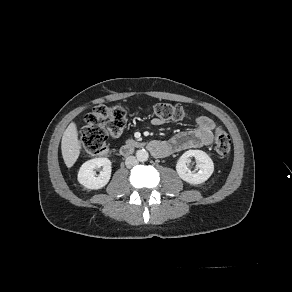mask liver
Returning a JSON list of instances; mask_svg holds the SVG:
<instances>
[{
	"instance_id": "6515ba94",
	"label": "liver",
	"mask_w": 292,
	"mask_h": 292,
	"mask_svg": "<svg viewBox=\"0 0 292 292\" xmlns=\"http://www.w3.org/2000/svg\"><path fill=\"white\" fill-rule=\"evenodd\" d=\"M61 151L66 166L68 168L72 167L77 161L81 151L77 127L74 122H71L63 133Z\"/></svg>"
}]
</instances>
